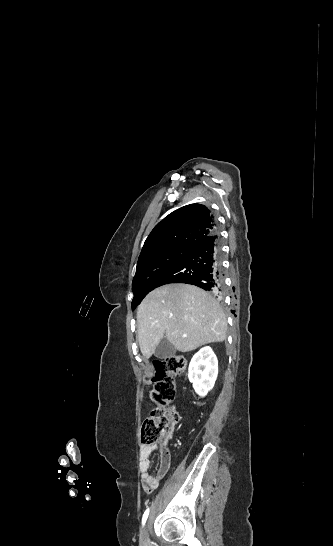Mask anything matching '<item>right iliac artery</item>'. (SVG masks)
<instances>
[{
  "label": "right iliac artery",
  "instance_id": "right-iliac-artery-1",
  "mask_svg": "<svg viewBox=\"0 0 333 546\" xmlns=\"http://www.w3.org/2000/svg\"><path fill=\"white\" fill-rule=\"evenodd\" d=\"M148 515H149V508L145 511V513L143 514V518H142V525L144 526L147 518H148Z\"/></svg>",
  "mask_w": 333,
  "mask_h": 546
}]
</instances>
